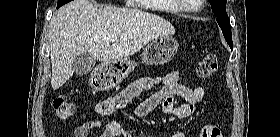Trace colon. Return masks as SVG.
I'll return each mask as SVG.
<instances>
[{"mask_svg": "<svg viewBox=\"0 0 280 137\" xmlns=\"http://www.w3.org/2000/svg\"><path fill=\"white\" fill-rule=\"evenodd\" d=\"M218 67V58L214 54H208L199 61L196 71L200 78L206 79L215 75L218 71ZM120 98L124 101L129 102L133 99V95L129 92H122ZM52 106L57 118L62 120L70 118L75 111L74 104L67 100L65 97L54 98L52 101ZM200 137H223V135L221 130L215 126L204 130L200 134Z\"/></svg>", "mask_w": 280, "mask_h": 137, "instance_id": "obj_1", "label": "colon"}]
</instances>
